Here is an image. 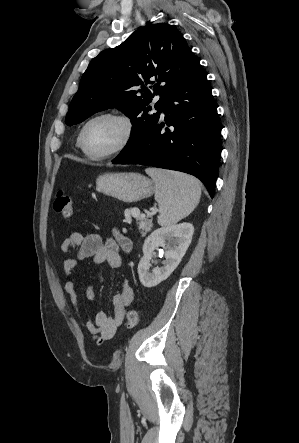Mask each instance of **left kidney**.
I'll return each instance as SVG.
<instances>
[{"instance_id":"obj_1","label":"left kidney","mask_w":299,"mask_h":443,"mask_svg":"<svg viewBox=\"0 0 299 443\" xmlns=\"http://www.w3.org/2000/svg\"><path fill=\"white\" fill-rule=\"evenodd\" d=\"M193 233V225L184 222L156 229L146 238L143 257L138 265L139 279L143 286L154 287L170 276L185 255ZM158 247L164 248L163 266L149 272L153 252Z\"/></svg>"}]
</instances>
